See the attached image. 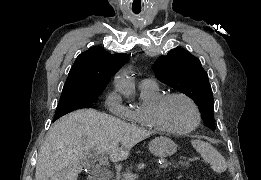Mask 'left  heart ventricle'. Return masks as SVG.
I'll return each instance as SVG.
<instances>
[{
    "instance_id": "1",
    "label": "left heart ventricle",
    "mask_w": 261,
    "mask_h": 180,
    "mask_svg": "<svg viewBox=\"0 0 261 180\" xmlns=\"http://www.w3.org/2000/svg\"><path fill=\"white\" fill-rule=\"evenodd\" d=\"M166 132L178 133L188 129L194 121L193 108L183 99L174 98L149 116Z\"/></svg>"
}]
</instances>
